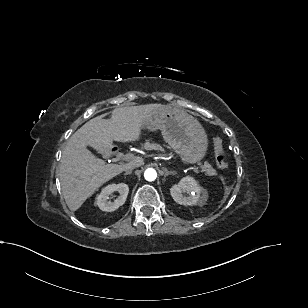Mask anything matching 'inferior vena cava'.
I'll return each instance as SVG.
<instances>
[{
	"mask_svg": "<svg viewBox=\"0 0 308 308\" xmlns=\"http://www.w3.org/2000/svg\"><path fill=\"white\" fill-rule=\"evenodd\" d=\"M137 166H139V164H137V163H128L127 166H126V168H125V171H126V172H132V170H133L135 167H137Z\"/></svg>",
	"mask_w": 308,
	"mask_h": 308,
	"instance_id": "obj_1",
	"label": "inferior vena cava"
}]
</instances>
